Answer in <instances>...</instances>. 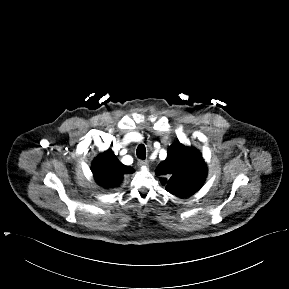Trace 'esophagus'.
Wrapping results in <instances>:
<instances>
[{
	"label": "esophagus",
	"instance_id": "34e87169",
	"mask_svg": "<svg viewBox=\"0 0 289 289\" xmlns=\"http://www.w3.org/2000/svg\"><path fill=\"white\" fill-rule=\"evenodd\" d=\"M148 165H149V163H148L147 160H139V161H138V166H139L140 168H145V167H147Z\"/></svg>",
	"mask_w": 289,
	"mask_h": 289
}]
</instances>
